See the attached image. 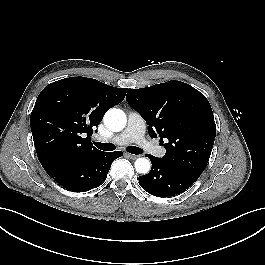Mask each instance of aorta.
Returning a JSON list of instances; mask_svg holds the SVG:
<instances>
[{
	"label": "aorta",
	"instance_id": "obj_1",
	"mask_svg": "<svg viewBox=\"0 0 265 265\" xmlns=\"http://www.w3.org/2000/svg\"><path fill=\"white\" fill-rule=\"evenodd\" d=\"M126 114L116 108L109 109L104 115L105 126L114 132L123 130L126 126ZM151 169V164L147 158H138L135 161V170L140 174H147Z\"/></svg>",
	"mask_w": 265,
	"mask_h": 265
}]
</instances>
